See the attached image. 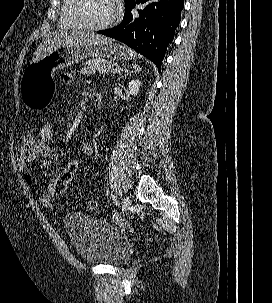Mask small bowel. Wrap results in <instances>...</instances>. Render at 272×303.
<instances>
[{
    "mask_svg": "<svg viewBox=\"0 0 272 303\" xmlns=\"http://www.w3.org/2000/svg\"><path fill=\"white\" fill-rule=\"evenodd\" d=\"M64 80L68 81L69 77L65 76ZM81 150L88 156L93 153V147L87 141L82 143ZM16 159L21 169H25L30 162L42 159L39 163V169L43 170L59 161V153L53 146L42 144L31 134H24L17 147ZM55 196L53 184H50L46 193L39 199L40 204L45 208H52Z\"/></svg>",
    "mask_w": 272,
    "mask_h": 303,
    "instance_id": "obj_1",
    "label": "small bowel"
}]
</instances>
